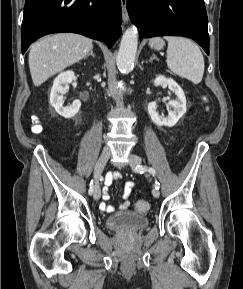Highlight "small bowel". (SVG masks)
Segmentation results:
<instances>
[{
	"label": "small bowel",
	"mask_w": 243,
	"mask_h": 289,
	"mask_svg": "<svg viewBox=\"0 0 243 289\" xmlns=\"http://www.w3.org/2000/svg\"><path fill=\"white\" fill-rule=\"evenodd\" d=\"M120 179H121V175L118 172H113L107 175L105 179L103 195H102L103 201L100 204V209L102 211H105L107 213H112L115 211V208L112 205L107 204V201L110 199L108 189L113 182H116ZM134 186H135V183L133 181H128L124 184L123 199L125 201L120 205L119 207L120 210H125L129 206V201L127 199L130 196Z\"/></svg>",
	"instance_id": "c3829d8e"
}]
</instances>
